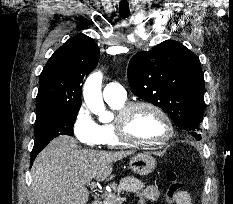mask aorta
<instances>
[{
	"label": "aorta",
	"mask_w": 233,
	"mask_h": 204,
	"mask_svg": "<svg viewBox=\"0 0 233 204\" xmlns=\"http://www.w3.org/2000/svg\"><path fill=\"white\" fill-rule=\"evenodd\" d=\"M102 77L100 71L89 75L83 87V96L87 107L92 113L98 116L99 121L108 122L112 119V115L106 111L104 106L101 92Z\"/></svg>",
	"instance_id": "aorta-1"
}]
</instances>
